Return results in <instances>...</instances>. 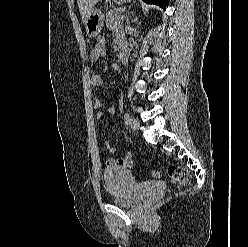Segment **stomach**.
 <instances>
[{"mask_svg": "<svg viewBox=\"0 0 248 247\" xmlns=\"http://www.w3.org/2000/svg\"><path fill=\"white\" fill-rule=\"evenodd\" d=\"M115 2L122 4L130 2L131 0H114ZM104 22V15L97 9H90L86 18L84 19V25L86 34L89 37H96L102 30Z\"/></svg>", "mask_w": 248, "mask_h": 247, "instance_id": "0dacf381", "label": "stomach"}]
</instances>
